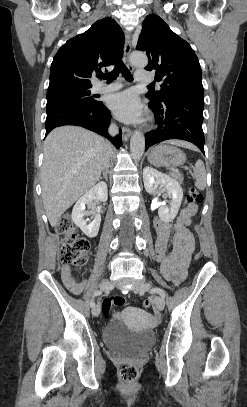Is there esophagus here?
<instances>
[{
  "label": "esophagus",
  "instance_id": "1",
  "mask_svg": "<svg viewBox=\"0 0 247 407\" xmlns=\"http://www.w3.org/2000/svg\"><path fill=\"white\" fill-rule=\"evenodd\" d=\"M130 53H131V34L129 31H125L124 62L126 63L130 71H134V67L129 60ZM122 133L124 140L127 141L129 137L132 135V130L123 127Z\"/></svg>",
  "mask_w": 247,
  "mask_h": 407
}]
</instances>
